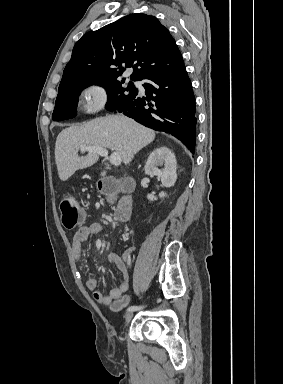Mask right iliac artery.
<instances>
[{
	"label": "right iliac artery",
	"instance_id": "1",
	"mask_svg": "<svg viewBox=\"0 0 283 384\" xmlns=\"http://www.w3.org/2000/svg\"><path fill=\"white\" fill-rule=\"evenodd\" d=\"M143 306H130L127 311H131V310H134V311H137V310H140L142 309Z\"/></svg>",
	"mask_w": 283,
	"mask_h": 384
}]
</instances>
